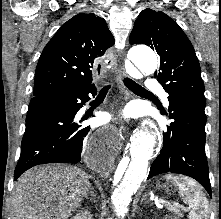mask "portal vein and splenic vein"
I'll use <instances>...</instances> for the list:
<instances>
[{"instance_id":"1","label":"portal vein and splenic vein","mask_w":221,"mask_h":219,"mask_svg":"<svg viewBox=\"0 0 221 219\" xmlns=\"http://www.w3.org/2000/svg\"><path fill=\"white\" fill-rule=\"evenodd\" d=\"M163 204H166V201H162ZM172 207H178V208H182L183 210H186V208H184V206H182L181 204H179L178 202H174L171 205Z\"/></svg>"}]
</instances>
